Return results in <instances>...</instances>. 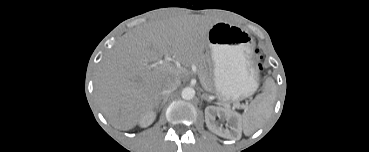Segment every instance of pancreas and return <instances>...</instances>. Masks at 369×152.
I'll return each instance as SVG.
<instances>
[{"mask_svg":"<svg viewBox=\"0 0 369 152\" xmlns=\"http://www.w3.org/2000/svg\"><path fill=\"white\" fill-rule=\"evenodd\" d=\"M200 81L204 87V89L208 92H213V86L209 79H207L202 73H199Z\"/></svg>","mask_w":369,"mask_h":152,"instance_id":"1","label":"pancreas"}]
</instances>
